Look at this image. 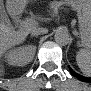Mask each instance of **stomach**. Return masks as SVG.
<instances>
[{
	"label": "stomach",
	"mask_w": 91,
	"mask_h": 91,
	"mask_svg": "<svg viewBox=\"0 0 91 91\" xmlns=\"http://www.w3.org/2000/svg\"><path fill=\"white\" fill-rule=\"evenodd\" d=\"M69 3L80 12L79 25L85 45L90 44L91 38V19H90V3L85 0H70ZM82 11V14H81Z\"/></svg>",
	"instance_id": "1"
}]
</instances>
